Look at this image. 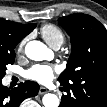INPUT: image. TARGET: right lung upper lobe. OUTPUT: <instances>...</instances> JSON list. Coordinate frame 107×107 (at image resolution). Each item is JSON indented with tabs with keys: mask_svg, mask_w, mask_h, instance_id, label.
<instances>
[{
	"mask_svg": "<svg viewBox=\"0 0 107 107\" xmlns=\"http://www.w3.org/2000/svg\"><path fill=\"white\" fill-rule=\"evenodd\" d=\"M35 24H20L0 19V58L15 54V46L34 28Z\"/></svg>",
	"mask_w": 107,
	"mask_h": 107,
	"instance_id": "1",
	"label": "right lung upper lobe"
}]
</instances>
